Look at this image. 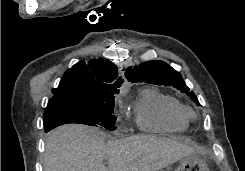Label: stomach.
I'll return each mask as SVG.
<instances>
[{
  "instance_id": "1",
  "label": "stomach",
  "mask_w": 245,
  "mask_h": 171,
  "mask_svg": "<svg viewBox=\"0 0 245 171\" xmlns=\"http://www.w3.org/2000/svg\"><path fill=\"white\" fill-rule=\"evenodd\" d=\"M175 171H210V169L207 159L201 153L195 152L182 158Z\"/></svg>"
}]
</instances>
